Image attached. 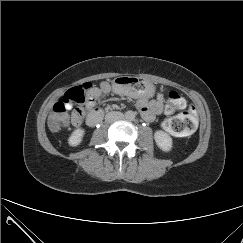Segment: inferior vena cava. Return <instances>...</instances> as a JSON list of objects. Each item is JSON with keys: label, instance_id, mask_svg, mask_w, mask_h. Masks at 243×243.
<instances>
[{"label": "inferior vena cava", "instance_id": "602c4592", "mask_svg": "<svg viewBox=\"0 0 243 243\" xmlns=\"http://www.w3.org/2000/svg\"><path fill=\"white\" fill-rule=\"evenodd\" d=\"M123 117V115L121 113H117V114H113V113H110V114H107L106 115V122H113L115 119H118V118H121Z\"/></svg>", "mask_w": 243, "mask_h": 243}]
</instances>
